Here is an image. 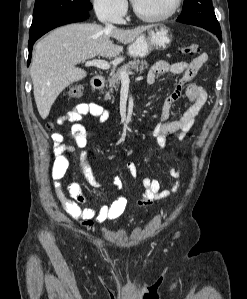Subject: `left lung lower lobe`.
Segmentation results:
<instances>
[{
    "label": "left lung lower lobe",
    "instance_id": "1",
    "mask_svg": "<svg viewBox=\"0 0 247 299\" xmlns=\"http://www.w3.org/2000/svg\"><path fill=\"white\" fill-rule=\"evenodd\" d=\"M179 22L194 25V26H198V27H202V28L214 33L218 37V39L220 41H222L220 27L212 26V25L207 24L206 22L201 21V20H184V21H179Z\"/></svg>",
    "mask_w": 247,
    "mask_h": 299
}]
</instances>
